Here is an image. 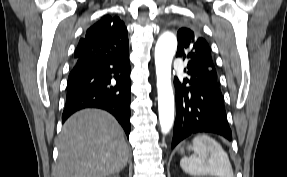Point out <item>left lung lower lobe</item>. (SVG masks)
I'll return each instance as SVG.
<instances>
[{"label":"left lung lower lobe","mask_w":287,"mask_h":177,"mask_svg":"<svg viewBox=\"0 0 287 177\" xmlns=\"http://www.w3.org/2000/svg\"><path fill=\"white\" fill-rule=\"evenodd\" d=\"M184 71L189 76L182 82L174 79L177 116L172 148L196 132H213L232 140L218 84H207L188 68Z\"/></svg>","instance_id":"1"}]
</instances>
